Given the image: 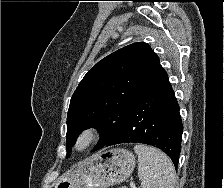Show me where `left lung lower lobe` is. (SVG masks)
<instances>
[{"instance_id":"obj_1","label":"left lung lower lobe","mask_w":224,"mask_h":188,"mask_svg":"<svg viewBox=\"0 0 224 188\" xmlns=\"http://www.w3.org/2000/svg\"><path fill=\"white\" fill-rule=\"evenodd\" d=\"M182 131L179 106L166 75L135 100L104 146L120 143L152 145L164 151L177 169Z\"/></svg>"}]
</instances>
